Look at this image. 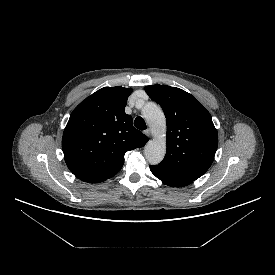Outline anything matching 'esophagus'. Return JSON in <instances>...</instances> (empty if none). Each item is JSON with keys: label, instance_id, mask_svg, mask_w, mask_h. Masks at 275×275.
<instances>
[{"label": "esophagus", "instance_id": "34e87169", "mask_svg": "<svg viewBox=\"0 0 275 275\" xmlns=\"http://www.w3.org/2000/svg\"><path fill=\"white\" fill-rule=\"evenodd\" d=\"M145 135H147L148 137H151V130L147 129L144 131Z\"/></svg>", "mask_w": 275, "mask_h": 275}]
</instances>
